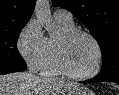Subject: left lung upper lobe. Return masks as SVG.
I'll list each match as a JSON object with an SVG mask.
<instances>
[{"instance_id":"5c2ea615","label":"left lung upper lobe","mask_w":119,"mask_h":95,"mask_svg":"<svg viewBox=\"0 0 119 95\" xmlns=\"http://www.w3.org/2000/svg\"><path fill=\"white\" fill-rule=\"evenodd\" d=\"M69 10L98 41L103 55L100 77H119V0H52Z\"/></svg>"}]
</instances>
